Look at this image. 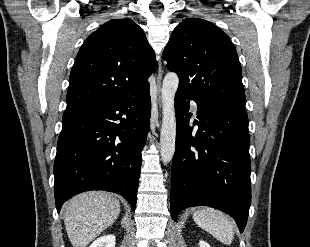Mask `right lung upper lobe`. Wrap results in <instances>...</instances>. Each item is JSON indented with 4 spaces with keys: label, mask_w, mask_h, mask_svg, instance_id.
I'll return each instance as SVG.
<instances>
[{
    "label": "right lung upper lobe",
    "mask_w": 310,
    "mask_h": 247,
    "mask_svg": "<svg viewBox=\"0 0 310 247\" xmlns=\"http://www.w3.org/2000/svg\"><path fill=\"white\" fill-rule=\"evenodd\" d=\"M157 62L134 21L111 19L81 46L72 67L67 107L120 99L149 88Z\"/></svg>",
    "instance_id": "1"
}]
</instances>
